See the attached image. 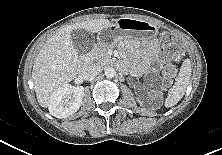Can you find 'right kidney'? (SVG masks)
Listing matches in <instances>:
<instances>
[{
    "instance_id": "obj_1",
    "label": "right kidney",
    "mask_w": 222,
    "mask_h": 155,
    "mask_svg": "<svg viewBox=\"0 0 222 155\" xmlns=\"http://www.w3.org/2000/svg\"><path fill=\"white\" fill-rule=\"evenodd\" d=\"M84 96L83 86L63 84L51 95L48 109L57 118H66L77 112Z\"/></svg>"
}]
</instances>
